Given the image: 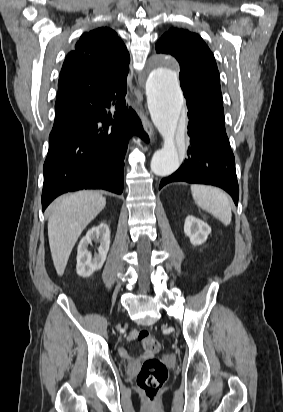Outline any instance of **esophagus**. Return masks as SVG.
<instances>
[{"mask_svg":"<svg viewBox=\"0 0 283 412\" xmlns=\"http://www.w3.org/2000/svg\"><path fill=\"white\" fill-rule=\"evenodd\" d=\"M139 115L141 117L142 124H143L145 132L149 135L150 138L154 137L155 129H154L152 123L149 121L147 116L141 110L139 111Z\"/></svg>","mask_w":283,"mask_h":412,"instance_id":"1","label":"esophagus"}]
</instances>
